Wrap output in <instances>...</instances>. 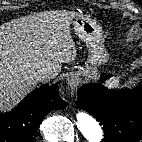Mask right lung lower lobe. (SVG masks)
Listing matches in <instances>:
<instances>
[{"mask_svg": "<svg viewBox=\"0 0 142 142\" xmlns=\"http://www.w3.org/2000/svg\"><path fill=\"white\" fill-rule=\"evenodd\" d=\"M57 84L31 92L13 110L0 115V142H35L36 130L51 110L65 107Z\"/></svg>", "mask_w": 142, "mask_h": 142, "instance_id": "right-lung-lower-lobe-1", "label": "right lung lower lobe"}]
</instances>
